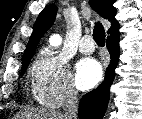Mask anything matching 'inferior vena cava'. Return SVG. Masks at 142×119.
<instances>
[{
  "instance_id": "1",
  "label": "inferior vena cava",
  "mask_w": 142,
  "mask_h": 119,
  "mask_svg": "<svg viewBox=\"0 0 142 119\" xmlns=\"http://www.w3.org/2000/svg\"><path fill=\"white\" fill-rule=\"evenodd\" d=\"M63 114L66 119H76L78 111V97L77 92L73 86H70L66 92V100L64 104Z\"/></svg>"
}]
</instances>
